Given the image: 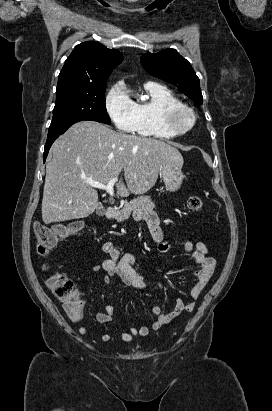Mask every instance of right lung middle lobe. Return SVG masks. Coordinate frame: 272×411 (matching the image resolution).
I'll use <instances>...</instances> for the list:
<instances>
[{
	"label": "right lung middle lobe",
	"instance_id": "obj_1",
	"mask_svg": "<svg viewBox=\"0 0 272 411\" xmlns=\"http://www.w3.org/2000/svg\"><path fill=\"white\" fill-rule=\"evenodd\" d=\"M106 83L98 86L56 92L53 119L47 138L64 133L71 125L83 120L110 124L105 106Z\"/></svg>",
	"mask_w": 272,
	"mask_h": 411
}]
</instances>
